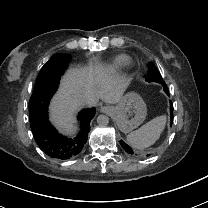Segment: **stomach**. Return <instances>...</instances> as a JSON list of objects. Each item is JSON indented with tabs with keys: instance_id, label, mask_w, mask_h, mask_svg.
Returning a JSON list of instances; mask_svg holds the SVG:
<instances>
[{
	"instance_id": "1",
	"label": "stomach",
	"mask_w": 208,
	"mask_h": 208,
	"mask_svg": "<svg viewBox=\"0 0 208 208\" xmlns=\"http://www.w3.org/2000/svg\"><path fill=\"white\" fill-rule=\"evenodd\" d=\"M111 108V116L124 133L138 127L146 117V105L137 94H127L116 107Z\"/></svg>"
}]
</instances>
